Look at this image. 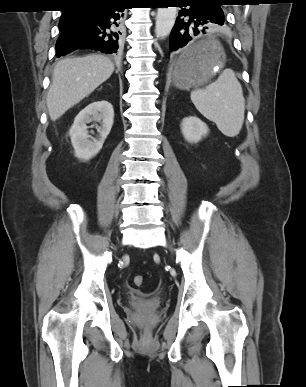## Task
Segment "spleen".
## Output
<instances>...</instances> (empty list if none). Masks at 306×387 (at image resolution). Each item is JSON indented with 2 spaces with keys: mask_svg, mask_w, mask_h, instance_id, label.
I'll list each match as a JSON object with an SVG mask.
<instances>
[{
  "mask_svg": "<svg viewBox=\"0 0 306 387\" xmlns=\"http://www.w3.org/2000/svg\"><path fill=\"white\" fill-rule=\"evenodd\" d=\"M191 100L196 109L228 137L239 134L245 112L241 84L231 69H225L218 79L203 89H194Z\"/></svg>",
  "mask_w": 306,
  "mask_h": 387,
  "instance_id": "spleen-1",
  "label": "spleen"
}]
</instances>
